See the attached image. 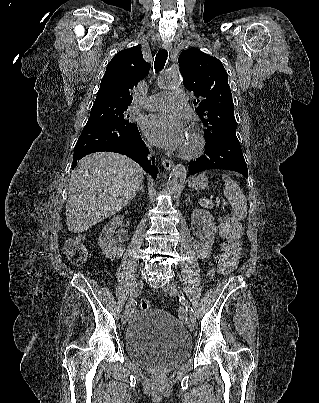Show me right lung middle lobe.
<instances>
[{
  "label": "right lung middle lobe",
  "instance_id": "1",
  "mask_svg": "<svg viewBox=\"0 0 319 403\" xmlns=\"http://www.w3.org/2000/svg\"><path fill=\"white\" fill-rule=\"evenodd\" d=\"M127 109L128 105L94 102L86 124L111 123L127 127L135 126L133 123L129 122V115L125 114Z\"/></svg>",
  "mask_w": 319,
  "mask_h": 403
}]
</instances>
